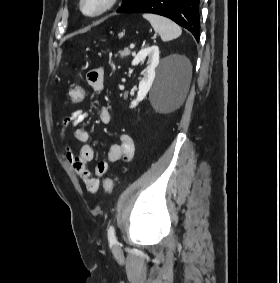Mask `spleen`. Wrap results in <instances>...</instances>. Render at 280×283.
<instances>
[{
  "mask_svg": "<svg viewBox=\"0 0 280 283\" xmlns=\"http://www.w3.org/2000/svg\"><path fill=\"white\" fill-rule=\"evenodd\" d=\"M143 17L149 21L155 32H157L162 41H170L182 34L181 28L172 20L155 14H144Z\"/></svg>",
  "mask_w": 280,
  "mask_h": 283,
  "instance_id": "obj_1",
  "label": "spleen"
}]
</instances>
